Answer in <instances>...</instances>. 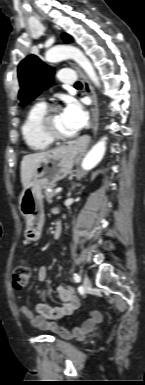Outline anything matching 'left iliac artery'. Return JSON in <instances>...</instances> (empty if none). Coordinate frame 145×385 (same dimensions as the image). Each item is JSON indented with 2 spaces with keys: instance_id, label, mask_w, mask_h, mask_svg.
Returning <instances> with one entry per match:
<instances>
[{
  "instance_id": "left-iliac-artery-1",
  "label": "left iliac artery",
  "mask_w": 145,
  "mask_h": 385,
  "mask_svg": "<svg viewBox=\"0 0 145 385\" xmlns=\"http://www.w3.org/2000/svg\"><path fill=\"white\" fill-rule=\"evenodd\" d=\"M74 280H75V282H80V280H81V277L78 275V274H75L74 275Z\"/></svg>"
}]
</instances>
